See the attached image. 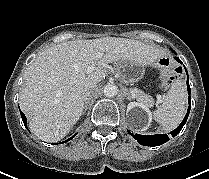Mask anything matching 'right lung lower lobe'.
<instances>
[{"instance_id":"right-lung-lower-lobe-1","label":"right lung lower lobe","mask_w":209,"mask_h":179,"mask_svg":"<svg viewBox=\"0 0 209 179\" xmlns=\"http://www.w3.org/2000/svg\"><path fill=\"white\" fill-rule=\"evenodd\" d=\"M20 113H21V117H22L23 123H24L25 127L27 128V126H26L27 119H26L25 115H24L21 111H20ZM74 136H75V135H74ZM74 136H72L71 138H69V139L66 140V141H63L62 143H65V142L71 140ZM59 144H61V143H59Z\"/></svg>"}]
</instances>
